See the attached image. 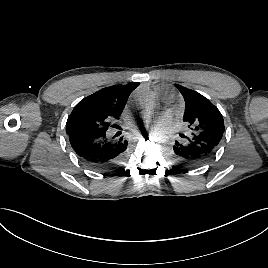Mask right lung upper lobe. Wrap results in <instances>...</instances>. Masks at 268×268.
<instances>
[{
  "label": "right lung upper lobe",
  "instance_id": "cb5924a9",
  "mask_svg": "<svg viewBox=\"0 0 268 268\" xmlns=\"http://www.w3.org/2000/svg\"><path fill=\"white\" fill-rule=\"evenodd\" d=\"M138 86V82H133L128 83L127 85L106 87L82 99L77 106H97L121 113L126 105L130 93Z\"/></svg>",
  "mask_w": 268,
  "mask_h": 268
}]
</instances>
